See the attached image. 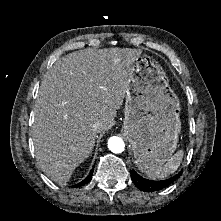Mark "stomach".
Returning <instances> with one entry per match:
<instances>
[{
    "label": "stomach",
    "mask_w": 221,
    "mask_h": 221,
    "mask_svg": "<svg viewBox=\"0 0 221 221\" xmlns=\"http://www.w3.org/2000/svg\"><path fill=\"white\" fill-rule=\"evenodd\" d=\"M179 112V100L160 63L146 54L138 56L127 79L122 131L142 172L162 166L176 150Z\"/></svg>",
    "instance_id": "0dacf381"
}]
</instances>
